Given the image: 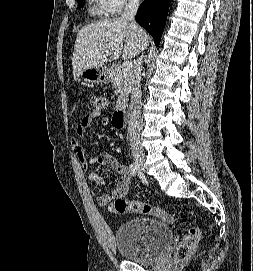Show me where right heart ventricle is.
I'll list each match as a JSON object with an SVG mask.
<instances>
[{
	"instance_id": "right-heart-ventricle-1",
	"label": "right heart ventricle",
	"mask_w": 253,
	"mask_h": 271,
	"mask_svg": "<svg viewBox=\"0 0 253 271\" xmlns=\"http://www.w3.org/2000/svg\"><path fill=\"white\" fill-rule=\"evenodd\" d=\"M92 4V10L100 15H108L110 11L103 5L101 0H90Z\"/></svg>"
}]
</instances>
